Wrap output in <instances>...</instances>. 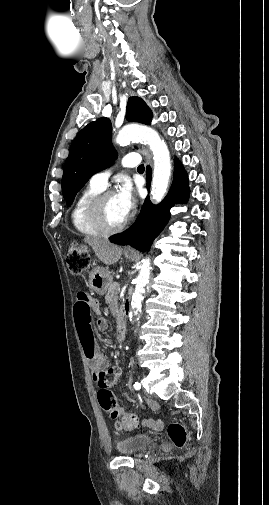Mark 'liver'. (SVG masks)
<instances>
[{"mask_svg":"<svg viewBox=\"0 0 269 505\" xmlns=\"http://www.w3.org/2000/svg\"><path fill=\"white\" fill-rule=\"evenodd\" d=\"M84 241L92 247L96 256L105 265L115 264L122 255L121 247L114 245L107 240L86 237Z\"/></svg>","mask_w":269,"mask_h":505,"instance_id":"1","label":"liver"}]
</instances>
